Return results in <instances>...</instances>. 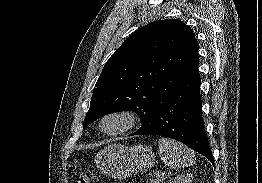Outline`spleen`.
Wrapping results in <instances>:
<instances>
[{
	"mask_svg": "<svg viewBox=\"0 0 262 183\" xmlns=\"http://www.w3.org/2000/svg\"><path fill=\"white\" fill-rule=\"evenodd\" d=\"M158 147L161 160L171 169L188 167L195 163L194 153L180 142L161 138Z\"/></svg>",
	"mask_w": 262,
	"mask_h": 183,
	"instance_id": "3e777b00",
	"label": "spleen"
}]
</instances>
